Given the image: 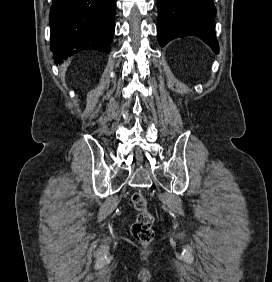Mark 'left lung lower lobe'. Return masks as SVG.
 Here are the masks:
<instances>
[{"mask_svg": "<svg viewBox=\"0 0 272 282\" xmlns=\"http://www.w3.org/2000/svg\"><path fill=\"white\" fill-rule=\"evenodd\" d=\"M160 46L174 38L195 35L219 52L213 29L216 9L213 0H157Z\"/></svg>", "mask_w": 272, "mask_h": 282, "instance_id": "1", "label": "left lung lower lobe"}]
</instances>
